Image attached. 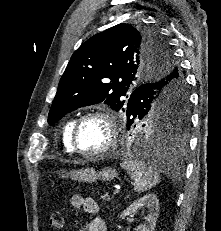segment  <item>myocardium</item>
<instances>
[{"label": "myocardium", "instance_id": "myocardium-1", "mask_svg": "<svg viewBox=\"0 0 221 231\" xmlns=\"http://www.w3.org/2000/svg\"><path fill=\"white\" fill-rule=\"evenodd\" d=\"M94 117H100L105 120L109 127V139L107 144L102 147L101 149H98L96 151L87 152L83 151L78 147L77 144V134L78 130L80 128V125L89 118ZM119 141V124L116 115L109 109H93L90 111L85 112L82 114L79 118H77L73 124L72 130H71V146L75 153L83 156V157H99L102 156L111 150H113Z\"/></svg>", "mask_w": 221, "mask_h": 231}]
</instances>
